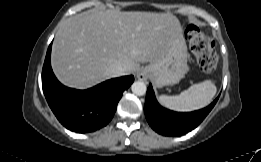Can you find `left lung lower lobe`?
<instances>
[{
  "instance_id": "left-lung-lower-lobe-1",
  "label": "left lung lower lobe",
  "mask_w": 261,
  "mask_h": 162,
  "mask_svg": "<svg viewBox=\"0 0 261 162\" xmlns=\"http://www.w3.org/2000/svg\"><path fill=\"white\" fill-rule=\"evenodd\" d=\"M219 97L209 106L194 112H174L163 108L156 100L152 85L147 89L145 117L151 128L163 136H181L195 129L209 114Z\"/></svg>"
}]
</instances>
